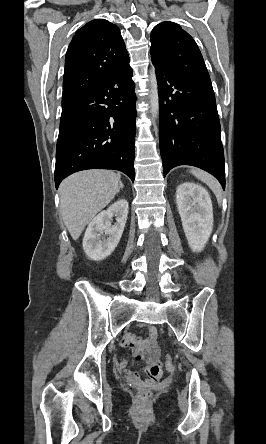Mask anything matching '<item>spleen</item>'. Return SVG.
Returning <instances> with one entry per match:
<instances>
[{
	"label": "spleen",
	"mask_w": 266,
	"mask_h": 444,
	"mask_svg": "<svg viewBox=\"0 0 266 444\" xmlns=\"http://www.w3.org/2000/svg\"><path fill=\"white\" fill-rule=\"evenodd\" d=\"M190 172L195 177H197L199 180L206 183L209 186V188L216 195L217 200L219 202H221V199H222L221 186L213 176H211L210 174H208L202 170H198V169H192Z\"/></svg>",
	"instance_id": "obj_1"
}]
</instances>
